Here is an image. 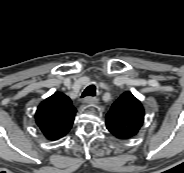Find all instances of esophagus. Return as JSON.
<instances>
[{
    "label": "esophagus",
    "instance_id": "esophagus-1",
    "mask_svg": "<svg viewBox=\"0 0 184 173\" xmlns=\"http://www.w3.org/2000/svg\"><path fill=\"white\" fill-rule=\"evenodd\" d=\"M83 103H85V104H97L98 98L92 97V96H87L83 99Z\"/></svg>",
    "mask_w": 184,
    "mask_h": 173
}]
</instances>
